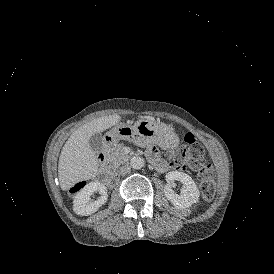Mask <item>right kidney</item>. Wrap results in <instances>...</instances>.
Here are the masks:
<instances>
[{"label": "right kidney", "instance_id": "right-kidney-1", "mask_svg": "<svg viewBox=\"0 0 274 274\" xmlns=\"http://www.w3.org/2000/svg\"><path fill=\"white\" fill-rule=\"evenodd\" d=\"M96 191L100 194L99 198L96 201H90V196ZM107 200L108 194L106 186L99 181L90 182L76 195L73 210L79 215H90L105 204Z\"/></svg>", "mask_w": 274, "mask_h": 274}]
</instances>
